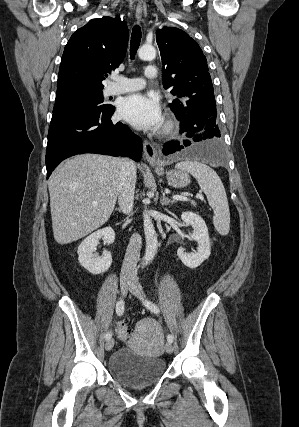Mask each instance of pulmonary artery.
I'll return each mask as SVG.
<instances>
[{
  "label": "pulmonary artery",
  "instance_id": "1",
  "mask_svg": "<svg viewBox=\"0 0 299 427\" xmlns=\"http://www.w3.org/2000/svg\"><path fill=\"white\" fill-rule=\"evenodd\" d=\"M157 77V68L153 65H149L145 68L144 78L140 77H124L114 76V83L109 87L108 94L116 95L132 91H137L145 86V80H154Z\"/></svg>",
  "mask_w": 299,
  "mask_h": 427
}]
</instances>
